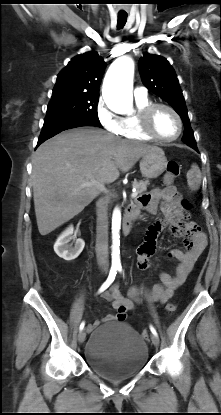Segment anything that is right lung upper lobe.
<instances>
[{
    "instance_id": "cb5924a9",
    "label": "right lung upper lobe",
    "mask_w": 221,
    "mask_h": 415,
    "mask_svg": "<svg viewBox=\"0 0 221 415\" xmlns=\"http://www.w3.org/2000/svg\"><path fill=\"white\" fill-rule=\"evenodd\" d=\"M106 63L95 51L77 55L57 76L54 93L84 92L99 94Z\"/></svg>"
}]
</instances>
